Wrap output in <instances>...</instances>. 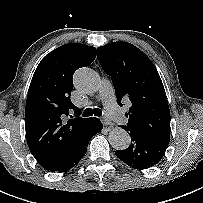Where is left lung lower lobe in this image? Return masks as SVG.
Wrapping results in <instances>:
<instances>
[{
  "instance_id": "1",
  "label": "left lung lower lobe",
  "mask_w": 203,
  "mask_h": 203,
  "mask_svg": "<svg viewBox=\"0 0 203 203\" xmlns=\"http://www.w3.org/2000/svg\"><path fill=\"white\" fill-rule=\"evenodd\" d=\"M127 131V130H126ZM131 136V145L125 149L116 151V156L134 169H147L158 164L168 147L153 138L134 131H128Z\"/></svg>"
}]
</instances>
